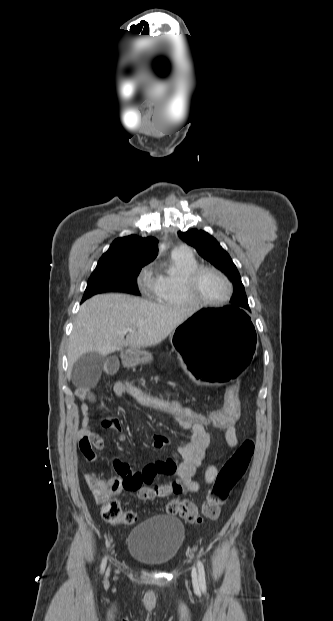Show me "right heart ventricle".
<instances>
[{
	"mask_svg": "<svg viewBox=\"0 0 333 621\" xmlns=\"http://www.w3.org/2000/svg\"><path fill=\"white\" fill-rule=\"evenodd\" d=\"M169 269L158 272L154 278L152 299L170 306L192 305L187 297L184 282L187 275L198 267L191 254L173 252L168 262Z\"/></svg>",
	"mask_w": 333,
	"mask_h": 621,
	"instance_id": "obj_1",
	"label": "right heart ventricle"
}]
</instances>
